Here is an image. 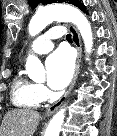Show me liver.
Wrapping results in <instances>:
<instances>
[{"instance_id": "6515ba94", "label": "liver", "mask_w": 117, "mask_h": 136, "mask_svg": "<svg viewBox=\"0 0 117 136\" xmlns=\"http://www.w3.org/2000/svg\"><path fill=\"white\" fill-rule=\"evenodd\" d=\"M40 114L31 109H13L3 118L0 136H33Z\"/></svg>"}]
</instances>
